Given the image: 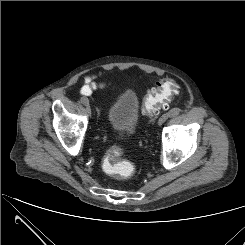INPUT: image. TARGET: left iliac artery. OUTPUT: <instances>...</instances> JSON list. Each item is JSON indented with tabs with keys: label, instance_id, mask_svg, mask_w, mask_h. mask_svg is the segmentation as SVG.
Segmentation results:
<instances>
[{
	"label": "left iliac artery",
	"instance_id": "1",
	"mask_svg": "<svg viewBox=\"0 0 245 245\" xmlns=\"http://www.w3.org/2000/svg\"><path fill=\"white\" fill-rule=\"evenodd\" d=\"M180 113V109L179 108H173L170 110L169 112V116L170 117H174L177 116Z\"/></svg>",
	"mask_w": 245,
	"mask_h": 245
}]
</instances>
